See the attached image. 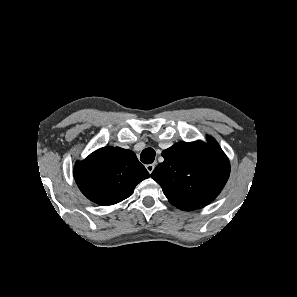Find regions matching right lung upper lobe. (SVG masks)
<instances>
[{"mask_svg":"<svg viewBox=\"0 0 297 297\" xmlns=\"http://www.w3.org/2000/svg\"><path fill=\"white\" fill-rule=\"evenodd\" d=\"M81 192L91 201L109 206L128 198L136 185L150 174L133 151L104 147L74 167Z\"/></svg>","mask_w":297,"mask_h":297,"instance_id":"cb5924a9","label":"right lung upper lobe"}]
</instances>
